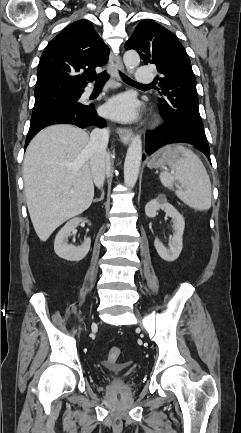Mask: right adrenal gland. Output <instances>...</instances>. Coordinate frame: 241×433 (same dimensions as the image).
<instances>
[{
	"instance_id": "2a0ac1e0",
	"label": "right adrenal gland",
	"mask_w": 241,
	"mask_h": 433,
	"mask_svg": "<svg viewBox=\"0 0 241 433\" xmlns=\"http://www.w3.org/2000/svg\"><path fill=\"white\" fill-rule=\"evenodd\" d=\"M103 198H104V190L101 191V197H100V198H96V199H94L93 201H94V202H99V201H102Z\"/></svg>"
}]
</instances>
